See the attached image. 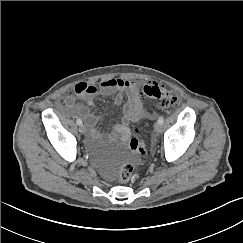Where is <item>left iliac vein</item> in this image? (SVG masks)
<instances>
[{
	"label": "left iliac vein",
	"instance_id": "obj_1",
	"mask_svg": "<svg viewBox=\"0 0 243 243\" xmlns=\"http://www.w3.org/2000/svg\"><path fill=\"white\" fill-rule=\"evenodd\" d=\"M154 130H155L156 133H160L161 130H162V126H161V124H159L158 122L155 123V125H154Z\"/></svg>",
	"mask_w": 243,
	"mask_h": 243
}]
</instances>
